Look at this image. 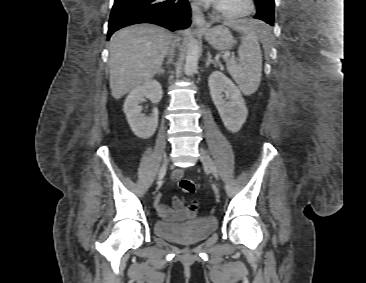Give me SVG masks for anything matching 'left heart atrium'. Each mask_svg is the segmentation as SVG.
Segmentation results:
<instances>
[{
	"instance_id": "left-heart-atrium-1",
	"label": "left heart atrium",
	"mask_w": 366,
	"mask_h": 283,
	"mask_svg": "<svg viewBox=\"0 0 366 283\" xmlns=\"http://www.w3.org/2000/svg\"><path fill=\"white\" fill-rule=\"evenodd\" d=\"M202 1L209 2V3H214V4L220 2V0H202Z\"/></svg>"
}]
</instances>
